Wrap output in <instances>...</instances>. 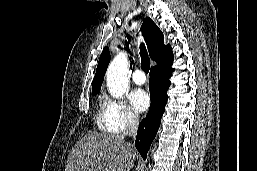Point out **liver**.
<instances>
[{"label": "liver", "instance_id": "obj_1", "mask_svg": "<svg viewBox=\"0 0 257 171\" xmlns=\"http://www.w3.org/2000/svg\"><path fill=\"white\" fill-rule=\"evenodd\" d=\"M136 152L123 135L88 134L72 148L65 171H130Z\"/></svg>", "mask_w": 257, "mask_h": 171}]
</instances>
